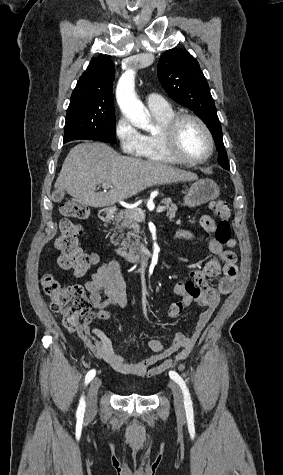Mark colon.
<instances>
[{"mask_svg": "<svg viewBox=\"0 0 283 475\" xmlns=\"http://www.w3.org/2000/svg\"><path fill=\"white\" fill-rule=\"evenodd\" d=\"M211 211L216 215L217 222L213 228L214 236L220 243H228L231 239L230 217L231 208L225 199L213 200L210 203ZM63 219L61 221V234L56 240V247L60 251L58 263L64 270L71 271L76 277H83L95 264L96 257L85 252L78 244L82 234L81 226L74 219L84 220L89 215L86 204L68 199L60 208ZM42 286L51 300V308L63 321L65 329L77 332L82 325V317L89 309V300L81 285H64L52 275H44L41 279ZM188 295L180 303L171 304L168 308V317L175 319L182 311L187 309L198 297L200 289L193 286L191 280L184 282Z\"/></svg>", "mask_w": 283, "mask_h": 475, "instance_id": "5ec220e1", "label": "colon"}]
</instances>
